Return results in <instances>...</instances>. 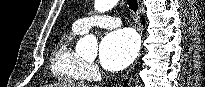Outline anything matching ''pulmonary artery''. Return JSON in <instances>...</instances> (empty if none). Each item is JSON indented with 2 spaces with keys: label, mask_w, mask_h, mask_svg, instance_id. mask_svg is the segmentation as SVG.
<instances>
[{
  "label": "pulmonary artery",
  "mask_w": 205,
  "mask_h": 87,
  "mask_svg": "<svg viewBox=\"0 0 205 87\" xmlns=\"http://www.w3.org/2000/svg\"><path fill=\"white\" fill-rule=\"evenodd\" d=\"M121 25V19L109 15H91L82 17L76 20L73 27L81 32L85 33L94 27H101L106 29L116 28Z\"/></svg>",
  "instance_id": "pulmonary-artery-1"
}]
</instances>
